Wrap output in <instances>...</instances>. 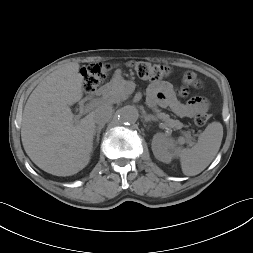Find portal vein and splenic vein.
Segmentation results:
<instances>
[{
    "mask_svg": "<svg viewBox=\"0 0 253 253\" xmlns=\"http://www.w3.org/2000/svg\"><path fill=\"white\" fill-rule=\"evenodd\" d=\"M90 108L89 105L85 106L84 108L81 109V113H84L85 111H88Z\"/></svg>",
    "mask_w": 253,
    "mask_h": 253,
    "instance_id": "obj_1",
    "label": "portal vein and splenic vein"
}]
</instances>
